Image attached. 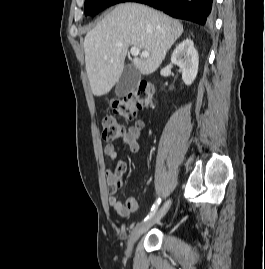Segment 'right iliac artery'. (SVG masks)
<instances>
[{"mask_svg": "<svg viewBox=\"0 0 265 269\" xmlns=\"http://www.w3.org/2000/svg\"><path fill=\"white\" fill-rule=\"evenodd\" d=\"M160 202H161V199L160 198H158L155 201L154 205L151 208L150 213L145 217L144 222L147 221V220H149L155 214L156 210L158 209V206H159Z\"/></svg>", "mask_w": 265, "mask_h": 269, "instance_id": "obj_1", "label": "right iliac artery"}]
</instances>
